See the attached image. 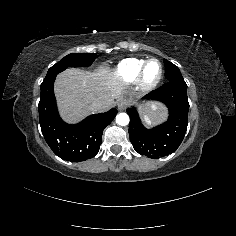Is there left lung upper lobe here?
Here are the masks:
<instances>
[{"label": "left lung upper lobe", "instance_id": "5c2ea615", "mask_svg": "<svg viewBox=\"0 0 236 236\" xmlns=\"http://www.w3.org/2000/svg\"><path fill=\"white\" fill-rule=\"evenodd\" d=\"M165 65V78L167 81L171 80H184L182 77L181 72L179 71L178 67L173 63L169 62L168 60H164Z\"/></svg>", "mask_w": 236, "mask_h": 236}]
</instances>
